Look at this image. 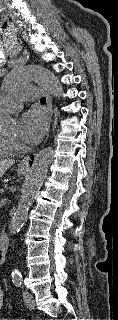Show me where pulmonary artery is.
Here are the masks:
<instances>
[{
	"mask_svg": "<svg viewBox=\"0 0 118 320\" xmlns=\"http://www.w3.org/2000/svg\"><path fill=\"white\" fill-rule=\"evenodd\" d=\"M37 97L38 89L32 85L13 90L7 97L0 100V112H16L21 108L23 102L35 101Z\"/></svg>",
	"mask_w": 118,
	"mask_h": 320,
	"instance_id": "e3ab8cb5",
	"label": "pulmonary artery"
}]
</instances>
